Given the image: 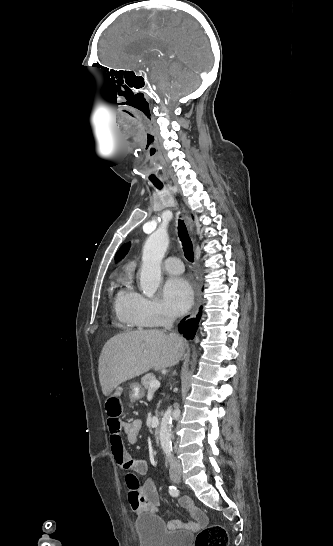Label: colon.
Instances as JSON below:
<instances>
[{"instance_id":"colon-1","label":"colon","mask_w":333,"mask_h":546,"mask_svg":"<svg viewBox=\"0 0 333 546\" xmlns=\"http://www.w3.org/2000/svg\"><path fill=\"white\" fill-rule=\"evenodd\" d=\"M124 400L122 396H111L104 407L110 421L115 422L121 415ZM195 546H228L227 531L219 525H211L201 530L195 539Z\"/></svg>"}]
</instances>
